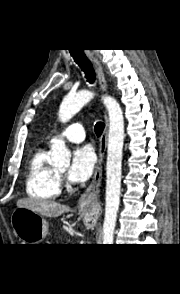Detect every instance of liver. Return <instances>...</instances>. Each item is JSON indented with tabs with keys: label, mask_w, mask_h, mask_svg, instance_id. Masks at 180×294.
Listing matches in <instances>:
<instances>
[{
	"label": "liver",
	"mask_w": 180,
	"mask_h": 294,
	"mask_svg": "<svg viewBox=\"0 0 180 294\" xmlns=\"http://www.w3.org/2000/svg\"><path fill=\"white\" fill-rule=\"evenodd\" d=\"M24 207L42 216L46 217H58L65 212H69L68 206L52 202L37 199H19L17 201V208Z\"/></svg>",
	"instance_id": "6515ba94"
}]
</instances>
